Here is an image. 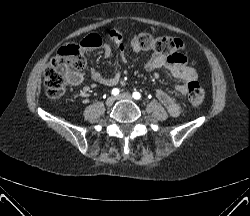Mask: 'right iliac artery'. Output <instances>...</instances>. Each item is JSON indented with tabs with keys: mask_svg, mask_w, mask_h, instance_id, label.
I'll use <instances>...</instances> for the list:
<instances>
[{
	"mask_svg": "<svg viewBox=\"0 0 250 216\" xmlns=\"http://www.w3.org/2000/svg\"><path fill=\"white\" fill-rule=\"evenodd\" d=\"M119 89L118 88H114L113 90H112V95H114V96H116V95H118L119 94Z\"/></svg>",
	"mask_w": 250,
	"mask_h": 216,
	"instance_id": "obj_1",
	"label": "right iliac artery"
}]
</instances>
